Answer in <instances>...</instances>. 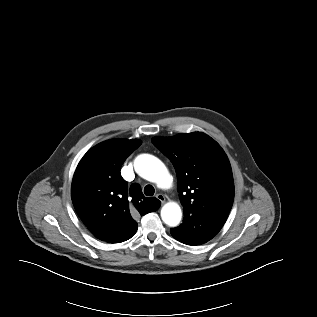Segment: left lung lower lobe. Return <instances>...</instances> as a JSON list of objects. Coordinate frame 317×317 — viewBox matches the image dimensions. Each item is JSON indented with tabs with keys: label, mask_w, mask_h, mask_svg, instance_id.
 Segmentation results:
<instances>
[{
	"label": "left lung lower lobe",
	"mask_w": 317,
	"mask_h": 317,
	"mask_svg": "<svg viewBox=\"0 0 317 317\" xmlns=\"http://www.w3.org/2000/svg\"><path fill=\"white\" fill-rule=\"evenodd\" d=\"M226 220L215 217H195L192 221L170 230L172 236L187 245H200L211 240Z\"/></svg>",
	"instance_id": "1"
}]
</instances>
